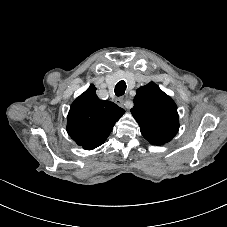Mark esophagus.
Listing matches in <instances>:
<instances>
[{"mask_svg":"<svg viewBox=\"0 0 227 227\" xmlns=\"http://www.w3.org/2000/svg\"><path fill=\"white\" fill-rule=\"evenodd\" d=\"M116 104L119 105L120 107H124V99L123 98H118L116 99Z\"/></svg>","mask_w":227,"mask_h":227,"instance_id":"obj_1","label":"esophagus"}]
</instances>
